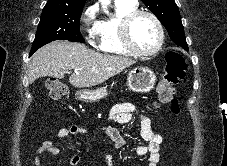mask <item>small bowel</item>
I'll use <instances>...</instances> for the list:
<instances>
[{"label": "small bowel", "instance_id": "obj_1", "mask_svg": "<svg viewBox=\"0 0 227 166\" xmlns=\"http://www.w3.org/2000/svg\"><path fill=\"white\" fill-rule=\"evenodd\" d=\"M137 114L138 121L140 124L139 137L143 142V145H139L134 149V154L137 156H147L148 166H158L160 162L159 150L163 143V137L159 134L154 133L152 128L151 119L140 113L136 106L131 103H119L114 105L108 113L107 120L109 123L119 122L127 123L131 120L132 114ZM101 130L112 140L115 148L119 149L125 145V141L121 134L111 125L102 127ZM87 132V128L77 125H71L68 127H63L59 130L58 136L63 138L67 136H78ZM76 144H81L79 141ZM60 149L55 145L52 140H45L37 148L34 153L33 164L34 166L42 165V158L44 155H58ZM112 154H107L105 157L106 166H112ZM81 161L80 155L72 156L68 161V166H77Z\"/></svg>", "mask_w": 227, "mask_h": 166}]
</instances>
